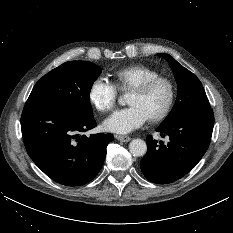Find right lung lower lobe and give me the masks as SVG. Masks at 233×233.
Here are the masks:
<instances>
[{
    "label": "right lung lower lobe",
    "instance_id": "1",
    "mask_svg": "<svg viewBox=\"0 0 233 233\" xmlns=\"http://www.w3.org/2000/svg\"><path fill=\"white\" fill-rule=\"evenodd\" d=\"M96 127L74 110L48 104L27 103L21 129L28 155L52 180L66 186H81L99 172L112 134L80 135Z\"/></svg>",
    "mask_w": 233,
    "mask_h": 233
}]
</instances>
